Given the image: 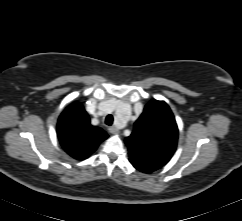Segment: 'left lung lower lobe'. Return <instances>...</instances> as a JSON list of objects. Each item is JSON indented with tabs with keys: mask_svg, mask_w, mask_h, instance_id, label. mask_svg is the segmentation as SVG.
<instances>
[{
	"mask_svg": "<svg viewBox=\"0 0 242 221\" xmlns=\"http://www.w3.org/2000/svg\"><path fill=\"white\" fill-rule=\"evenodd\" d=\"M131 164L138 170L144 173H151L160 167L154 166V165H149V164H144V163H136V162H131Z\"/></svg>",
	"mask_w": 242,
	"mask_h": 221,
	"instance_id": "1",
	"label": "left lung lower lobe"
}]
</instances>
